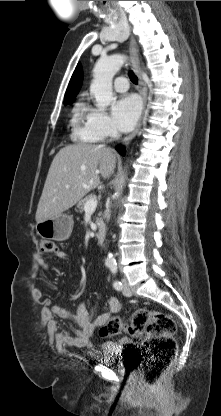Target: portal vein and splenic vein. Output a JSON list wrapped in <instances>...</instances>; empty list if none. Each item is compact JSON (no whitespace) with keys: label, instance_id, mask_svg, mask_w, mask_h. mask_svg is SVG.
I'll use <instances>...</instances> for the list:
<instances>
[{"label":"portal vein and splenic vein","instance_id":"18ae733b","mask_svg":"<svg viewBox=\"0 0 221 416\" xmlns=\"http://www.w3.org/2000/svg\"><path fill=\"white\" fill-rule=\"evenodd\" d=\"M97 204H98V201H97L96 197H95V198L90 199L89 201H87V202L85 203V205H84V211H85L86 213H89V212H93V211H95V209H96V207H97Z\"/></svg>","mask_w":221,"mask_h":416}]
</instances>
